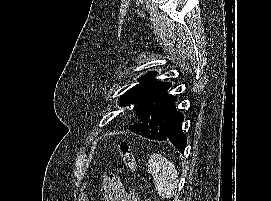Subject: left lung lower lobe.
I'll return each mask as SVG.
<instances>
[{"label": "left lung lower lobe", "instance_id": "left-lung-lower-lobe-1", "mask_svg": "<svg viewBox=\"0 0 271 201\" xmlns=\"http://www.w3.org/2000/svg\"><path fill=\"white\" fill-rule=\"evenodd\" d=\"M182 121L183 114L175 109L167 135L162 137L161 140L170 141L181 153H184L186 146V136L182 132ZM130 130L139 135L141 133V129L136 125L130 126Z\"/></svg>", "mask_w": 271, "mask_h": 201}]
</instances>
